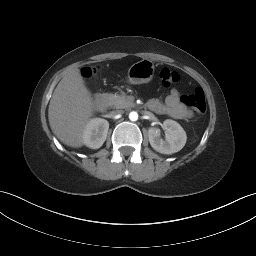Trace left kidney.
<instances>
[{
	"label": "left kidney",
	"instance_id": "left-kidney-1",
	"mask_svg": "<svg viewBox=\"0 0 256 256\" xmlns=\"http://www.w3.org/2000/svg\"><path fill=\"white\" fill-rule=\"evenodd\" d=\"M166 132L165 140L160 137V130L149 128L148 137L154 150L162 154H172L180 151L186 144L187 135L184 129L174 120L167 119L163 122Z\"/></svg>",
	"mask_w": 256,
	"mask_h": 256
}]
</instances>
